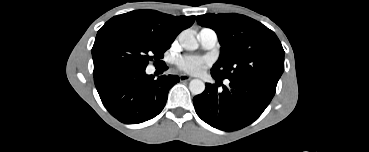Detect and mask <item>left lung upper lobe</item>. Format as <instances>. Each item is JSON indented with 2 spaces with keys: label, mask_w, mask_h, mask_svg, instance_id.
Listing matches in <instances>:
<instances>
[{
  "label": "left lung upper lobe",
  "mask_w": 369,
  "mask_h": 152,
  "mask_svg": "<svg viewBox=\"0 0 369 152\" xmlns=\"http://www.w3.org/2000/svg\"><path fill=\"white\" fill-rule=\"evenodd\" d=\"M203 27L218 35L221 53L211 75L239 82L277 85L284 71V50L273 31L240 14H210L197 17Z\"/></svg>",
  "instance_id": "obj_1"
}]
</instances>
